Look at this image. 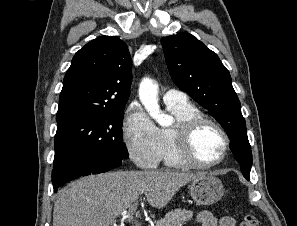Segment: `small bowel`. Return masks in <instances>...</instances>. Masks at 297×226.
<instances>
[{"mask_svg": "<svg viewBox=\"0 0 297 226\" xmlns=\"http://www.w3.org/2000/svg\"><path fill=\"white\" fill-rule=\"evenodd\" d=\"M196 222L200 226H235V220L230 216L215 217L209 211H201L196 215Z\"/></svg>", "mask_w": 297, "mask_h": 226, "instance_id": "obj_1", "label": "small bowel"}]
</instances>
